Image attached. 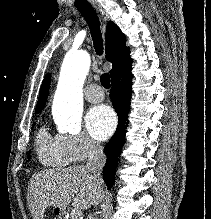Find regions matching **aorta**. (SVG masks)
I'll use <instances>...</instances> for the list:
<instances>
[{"label": "aorta", "instance_id": "1", "mask_svg": "<svg viewBox=\"0 0 211 219\" xmlns=\"http://www.w3.org/2000/svg\"><path fill=\"white\" fill-rule=\"evenodd\" d=\"M90 67L86 51H69L62 63L54 97V117L61 131L78 134L83 111L82 88Z\"/></svg>", "mask_w": 211, "mask_h": 219}]
</instances>
